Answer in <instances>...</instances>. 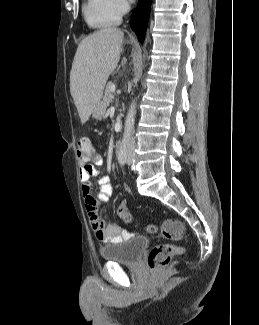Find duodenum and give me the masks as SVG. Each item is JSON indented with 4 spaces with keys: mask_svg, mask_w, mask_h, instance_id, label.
I'll return each mask as SVG.
<instances>
[{
    "mask_svg": "<svg viewBox=\"0 0 259 325\" xmlns=\"http://www.w3.org/2000/svg\"><path fill=\"white\" fill-rule=\"evenodd\" d=\"M123 147H124V140H122V139L117 140L114 145L115 153L117 155H119V153L122 151Z\"/></svg>",
    "mask_w": 259,
    "mask_h": 325,
    "instance_id": "1",
    "label": "duodenum"
}]
</instances>
